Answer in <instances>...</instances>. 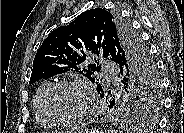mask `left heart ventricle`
<instances>
[{
    "instance_id": "1",
    "label": "left heart ventricle",
    "mask_w": 184,
    "mask_h": 133,
    "mask_svg": "<svg viewBox=\"0 0 184 133\" xmlns=\"http://www.w3.org/2000/svg\"><path fill=\"white\" fill-rule=\"evenodd\" d=\"M47 105L53 117L70 119L81 112L83 99L75 88L58 87L50 94Z\"/></svg>"
}]
</instances>
